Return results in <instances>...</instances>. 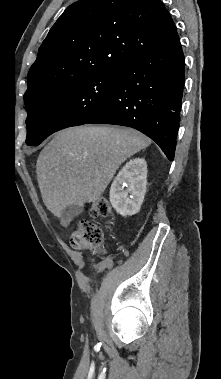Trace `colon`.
<instances>
[{
    "label": "colon",
    "mask_w": 221,
    "mask_h": 379,
    "mask_svg": "<svg viewBox=\"0 0 221 379\" xmlns=\"http://www.w3.org/2000/svg\"><path fill=\"white\" fill-rule=\"evenodd\" d=\"M94 217H107L111 214V206L106 198L97 199L90 208ZM103 233L100 226L87 219L79 220L71 234L70 242L75 249L97 247L102 241Z\"/></svg>",
    "instance_id": "1"
}]
</instances>
